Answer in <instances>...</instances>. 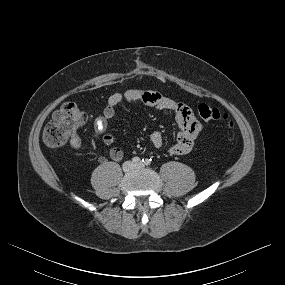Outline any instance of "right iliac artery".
<instances>
[{"label": "right iliac artery", "mask_w": 285, "mask_h": 285, "mask_svg": "<svg viewBox=\"0 0 285 285\" xmlns=\"http://www.w3.org/2000/svg\"><path fill=\"white\" fill-rule=\"evenodd\" d=\"M132 162L135 164H138L141 162V159L139 157H134V158H132Z\"/></svg>", "instance_id": "82829eb1"}]
</instances>
